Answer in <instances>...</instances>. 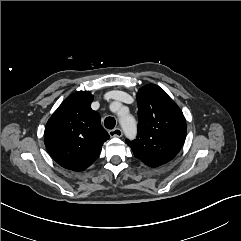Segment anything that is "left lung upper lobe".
Wrapping results in <instances>:
<instances>
[{"mask_svg":"<svg viewBox=\"0 0 241 241\" xmlns=\"http://www.w3.org/2000/svg\"><path fill=\"white\" fill-rule=\"evenodd\" d=\"M138 133L126 140L136 158L155 168L171 161L186 137V120L178 105L155 84L137 93Z\"/></svg>","mask_w":241,"mask_h":241,"instance_id":"5c2ea615","label":"left lung upper lobe"}]
</instances>
